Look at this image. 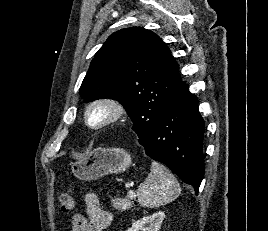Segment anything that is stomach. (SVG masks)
<instances>
[{"label": "stomach", "mask_w": 268, "mask_h": 231, "mask_svg": "<svg viewBox=\"0 0 268 231\" xmlns=\"http://www.w3.org/2000/svg\"><path fill=\"white\" fill-rule=\"evenodd\" d=\"M129 152L122 148H96L87 156L71 163L72 173L80 180H97L107 174H118L131 166Z\"/></svg>", "instance_id": "0dacf381"}]
</instances>
